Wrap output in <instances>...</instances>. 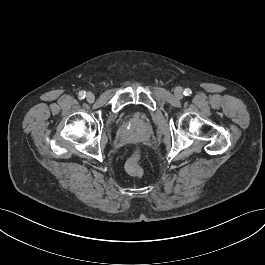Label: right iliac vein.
I'll return each mask as SVG.
<instances>
[{
    "mask_svg": "<svg viewBox=\"0 0 265 265\" xmlns=\"http://www.w3.org/2000/svg\"><path fill=\"white\" fill-rule=\"evenodd\" d=\"M86 99H87L88 102L92 103L95 100V96H94L93 93L88 92L87 95H86Z\"/></svg>",
    "mask_w": 265,
    "mask_h": 265,
    "instance_id": "right-iliac-vein-1",
    "label": "right iliac vein"
}]
</instances>
